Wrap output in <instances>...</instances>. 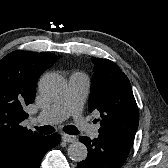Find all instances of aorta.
I'll return each mask as SVG.
<instances>
[{
  "label": "aorta",
  "mask_w": 168,
  "mask_h": 168,
  "mask_svg": "<svg viewBox=\"0 0 168 168\" xmlns=\"http://www.w3.org/2000/svg\"><path fill=\"white\" fill-rule=\"evenodd\" d=\"M65 81L63 77L56 73L45 74L39 82V91L47 100L59 98L65 90ZM68 156L75 162H81L87 157V147L81 142H73L68 146Z\"/></svg>",
  "instance_id": "obj_1"
}]
</instances>
